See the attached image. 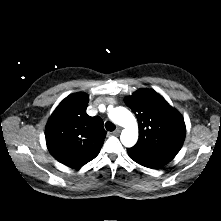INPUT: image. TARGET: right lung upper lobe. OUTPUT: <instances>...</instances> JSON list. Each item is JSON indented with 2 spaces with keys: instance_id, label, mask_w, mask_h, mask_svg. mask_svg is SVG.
I'll return each mask as SVG.
<instances>
[{
  "instance_id": "obj_1",
  "label": "right lung upper lobe",
  "mask_w": 221,
  "mask_h": 221,
  "mask_svg": "<svg viewBox=\"0 0 221 221\" xmlns=\"http://www.w3.org/2000/svg\"><path fill=\"white\" fill-rule=\"evenodd\" d=\"M89 97L74 93L52 113L45 130L47 148L62 164L77 168L94 159L104 143L106 131L100 117L86 113Z\"/></svg>"
}]
</instances>
